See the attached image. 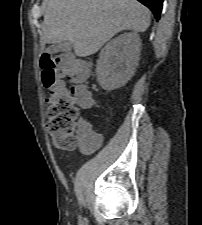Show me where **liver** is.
I'll return each mask as SVG.
<instances>
[{
	"label": "liver",
	"mask_w": 202,
	"mask_h": 225,
	"mask_svg": "<svg viewBox=\"0 0 202 225\" xmlns=\"http://www.w3.org/2000/svg\"><path fill=\"white\" fill-rule=\"evenodd\" d=\"M43 42L69 41L78 57L95 54L123 30L145 32L149 10L137 0H44Z\"/></svg>",
	"instance_id": "obj_1"
}]
</instances>
